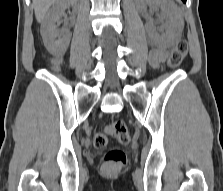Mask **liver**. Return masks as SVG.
I'll return each instance as SVG.
<instances>
[{
  "mask_svg": "<svg viewBox=\"0 0 223 191\" xmlns=\"http://www.w3.org/2000/svg\"><path fill=\"white\" fill-rule=\"evenodd\" d=\"M55 2L56 0H33L35 17L39 23L44 21L47 11Z\"/></svg>",
  "mask_w": 223,
  "mask_h": 191,
  "instance_id": "obj_1",
  "label": "liver"
}]
</instances>
